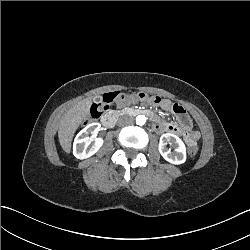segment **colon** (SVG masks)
I'll use <instances>...</instances> for the list:
<instances>
[{"label": "colon", "mask_w": 250, "mask_h": 250, "mask_svg": "<svg viewBox=\"0 0 250 250\" xmlns=\"http://www.w3.org/2000/svg\"><path fill=\"white\" fill-rule=\"evenodd\" d=\"M127 96L120 92V91H112L105 93L102 97V100L98 103H94L91 105L89 113H90V119L88 122H97L102 117V115L105 113V111L108 109L109 105L113 103H121L125 101ZM136 99L140 101H150L152 103H161V97L160 95H151V97L145 93V92H139L136 94ZM173 112L178 116L180 123L187 127L189 124V119L187 115L183 114L184 110L182 107L175 105L173 107ZM188 145L189 149L187 150V153L190 156H194L197 153V145L196 142L188 139Z\"/></svg>", "instance_id": "5ec220e1"}]
</instances>
